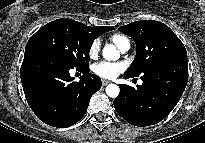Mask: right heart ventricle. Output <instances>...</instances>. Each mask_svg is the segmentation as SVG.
I'll return each mask as SVG.
<instances>
[{
  "mask_svg": "<svg viewBox=\"0 0 205 143\" xmlns=\"http://www.w3.org/2000/svg\"><path fill=\"white\" fill-rule=\"evenodd\" d=\"M110 39L118 48H120L125 42L129 41L128 38L122 34H114Z\"/></svg>",
  "mask_w": 205,
  "mask_h": 143,
  "instance_id": "obj_1",
  "label": "right heart ventricle"
}]
</instances>
